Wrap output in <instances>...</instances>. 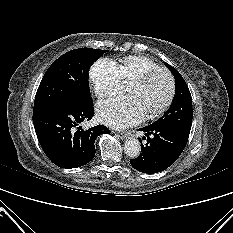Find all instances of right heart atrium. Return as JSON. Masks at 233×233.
<instances>
[{
  "mask_svg": "<svg viewBox=\"0 0 233 233\" xmlns=\"http://www.w3.org/2000/svg\"><path fill=\"white\" fill-rule=\"evenodd\" d=\"M89 78L99 98H106L117 93L122 83L117 65L105 58L97 60L91 66Z\"/></svg>",
  "mask_w": 233,
  "mask_h": 233,
  "instance_id": "obj_1",
  "label": "right heart atrium"
}]
</instances>
